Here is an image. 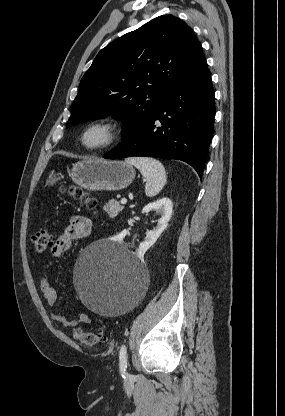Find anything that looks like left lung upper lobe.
I'll return each mask as SVG.
<instances>
[{
  "label": "left lung upper lobe",
  "instance_id": "1",
  "mask_svg": "<svg viewBox=\"0 0 285 416\" xmlns=\"http://www.w3.org/2000/svg\"><path fill=\"white\" fill-rule=\"evenodd\" d=\"M204 57L192 29L162 15L108 44L80 81L66 127L122 120L124 139L141 126Z\"/></svg>",
  "mask_w": 285,
  "mask_h": 416
}]
</instances>
